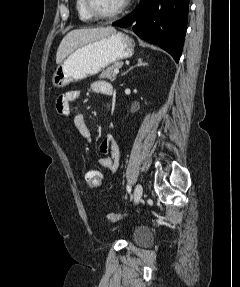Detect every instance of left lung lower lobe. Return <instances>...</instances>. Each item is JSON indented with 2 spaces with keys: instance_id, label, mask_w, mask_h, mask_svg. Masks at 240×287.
I'll list each match as a JSON object with an SVG mask.
<instances>
[{
  "instance_id": "1",
  "label": "left lung lower lobe",
  "mask_w": 240,
  "mask_h": 287,
  "mask_svg": "<svg viewBox=\"0 0 240 287\" xmlns=\"http://www.w3.org/2000/svg\"><path fill=\"white\" fill-rule=\"evenodd\" d=\"M189 0H140L126 17L113 23L128 27L142 39L160 46L178 62L185 39Z\"/></svg>"
}]
</instances>
